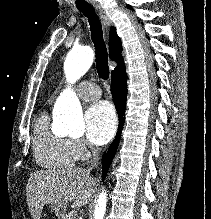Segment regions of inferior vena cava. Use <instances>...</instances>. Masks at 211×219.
Instances as JSON below:
<instances>
[{"label": "inferior vena cava", "instance_id": "1", "mask_svg": "<svg viewBox=\"0 0 211 219\" xmlns=\"http://www.w3.org/2000/svg\"><path fill=\"white\" fill-rule=\"evenodd\" d=\"M92 151H93V160H92L91 166L89 167V170L93 169L94 167L98 165V162H97L98 149L92 148Z\"/></svg>", "mask_w": 211, "mask_h": 219}]
</instances>
